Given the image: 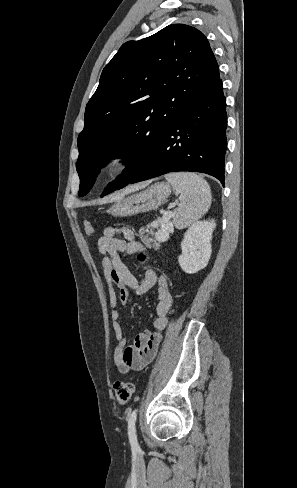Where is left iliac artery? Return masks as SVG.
I'll use <instances>...</instances> for the list:
<instances>
[{"label":"left iliac artery","mask_w":297,"mask_h":488,"mask_svg":"<svg viewBox=\"0 0 297 488\" xmlns=\"http://www.w3.org/2000/svg\"><path fill=\"white\" fill-rule=\"evenodd\" d=\"M136 416L137 410L135 409L128 418V436L133 451H138L140 449L135 430Z\"/></svg>","instance_id":"obj_1"}]
</instances>
